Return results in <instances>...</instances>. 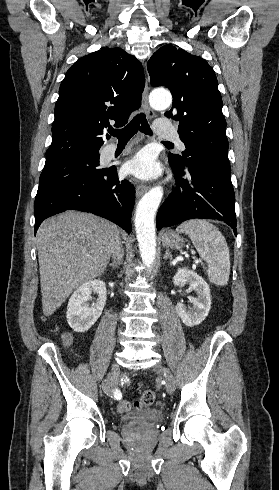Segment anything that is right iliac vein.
Masks as SVG:
<instances>
[{
	"label": "right iliac vein",
	"mask_w": 279,
	"mask_h": 490,
	"mask_svg": "<svg viewBox=\"0 0 279 490\" xmlns=\"http://www.w3.org/2000/svg\"><path fill=\"white\" fill-rule=\"evenodd\" d=\"M111 368H112L111 369V376L116 375V373H117V371L119 369V366L116 363H114V364H112V367Z\"/></svg>",
	"instance_id": "right-iliac-vein-1"
}]
</instances>
